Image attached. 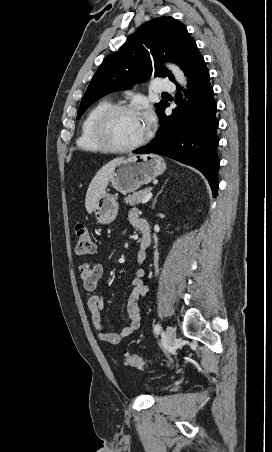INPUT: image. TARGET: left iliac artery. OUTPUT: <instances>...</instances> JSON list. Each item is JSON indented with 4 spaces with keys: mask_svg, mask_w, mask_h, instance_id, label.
Wrapping results in <instances>:
<instances>
[{
    "mask_svg": "<svg viewBox=\"0 0 272 452\" xmlns=\"http://www.w3.org/2000/svg\"><path fill=\"white\" fill-rule=\"evenodd\" d=\"M160 331H161V326L159 324H156L155 327H154V332L156 334H159Z\"/></svg>",
    "mask_w": 272,
    "mask_h": 452,
    "instance_id": "1",
    "label": "left iliac artery"
}]
</instances>
